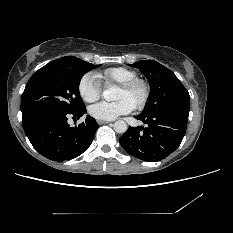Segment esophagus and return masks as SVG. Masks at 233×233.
Here are the masks:
<instances>
[{
    "instance_id": "obj_1",
    "label": "esophagus",
    "mask_w": 233,
    "mask_h": 233,
    "mask_svg": "<svg viewBox=\"0 0 233 233\" xmlns=\"http://www.w3.org/2000/svg\"><path fill=\"white\" fill-rule=\"evenodd\" d=\"M97 123H98L99 125H103V124H108V123H110V121L98 120Z\"/></svg>"
}]
</instances>
